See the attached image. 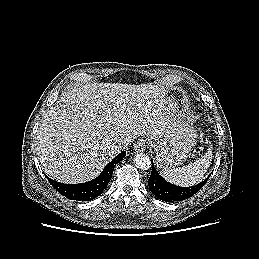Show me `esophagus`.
I'll list each match as a JSON object with an SVG mask.
<instances>
[{
  "mask_svg": "<svg viewBox=\"0 0 259 259\" xmlns=\"http://www.w3.org/2000/svg\"><path fill=\"white\" fill-rule=\"evenodd\" d=\"M145 146H146L145 140L139 139L134 143L133 148L135 152H142L145 150Z\"/></svg>",
  "mask_w": 259,
  "mask_h": 259,
  "instance_id": "esophagus-1",
  "label": "esophagus"
}]
</instances>
